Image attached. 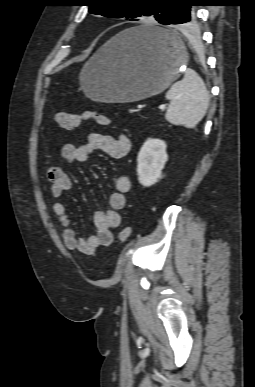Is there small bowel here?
<instances>
[{
    "mask_svg": "<svg viewBox=\"0 0 255 387\" xmlns=\"http://www.w3.org/2000/svg\"><path fill=\"white\" fill-rule=\"evenodd\" d=\"M131 149V142L124 134L116 137L101 133H90L87 141L79 146L64 144L60 149V156L66 161H87L93 152L100 150L114 159L126 157ZM46 177L50 183V190L54 198H61L72 186L70 176L60 167L50 166L46 170ZM131 180L121 175L115 180V191L109 197V209L97 210L93 215L96 233L79 238L71 227V220L66 207L62 202L52 204V212L62 227V238L67 249L84 255H92L101 246H110L113 243V230L119 227L121 217L119 212L126 205L125 195L131 190Z\"/></svg>",
    "mask_w": 255,
    "mask_h": 387,
    "instance_id": "small-bowel-1",
    "label": "small bowel"
}]
</instances>
